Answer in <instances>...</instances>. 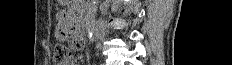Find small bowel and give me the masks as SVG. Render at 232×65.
<instances>
[{"mask_svg":"<svg viewBox=\"0 0 232 65\" xmlns=\"http://www.w3.org/2000/svg\"><path fill=\"white\" fill-rule=\"evenodd\" d=\"M68 17H77V12H58L55 17L56 21H62L59 23L57 29H55L54 37H59L60 45H69L70 47L79 48L82 43L76 38V33L73 32L74 23H65ZM62 65H73V59L69 57Z\"/></svg>","mask_w":232,"mask_h":65,"instance_id":"c3829d8e","label":"small bowel"}]
</instances>
